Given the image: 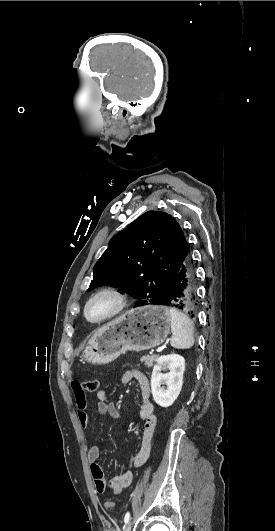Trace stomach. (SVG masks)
<instances>
[{"instance_id": "obj_1", "label": "stomach", "mask_w": 275, "mask_h": 531, "mask_svg": "<svg viewBox=\"0 0 275 531\" xmlns=\"http://www.w3.org/2000/svg\"><path fill=\"white\" fill-rule=\"evenodd\" d=\"M170 327L169 309L163 301H141L137 309H130L97 329L82 357L91 365H106L124 351L154 349L166 341Z\"/></svg>"}]
</instances>
